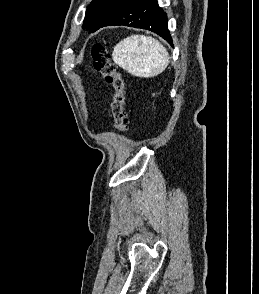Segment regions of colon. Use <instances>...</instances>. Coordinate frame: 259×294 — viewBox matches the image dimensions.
<instances>
[{"label":"colon","mask_w":259,"mask_h":294,"mask_svg":"<svg viewBox=\"0 0 259 294\" xmlns=\"http://www.w3.org/2000/svg\"><path fill=\"white\" fill-rule=\"evenodd\" d=\"M93 65L103 76L106 83L113 89L111 112L114 119V128L124 132L128 126L125 112V83L115 64L112 62L107 49L100 43H96L91 51Z\"/></svg>","instance_id":"obj_1"}]
</instances>
